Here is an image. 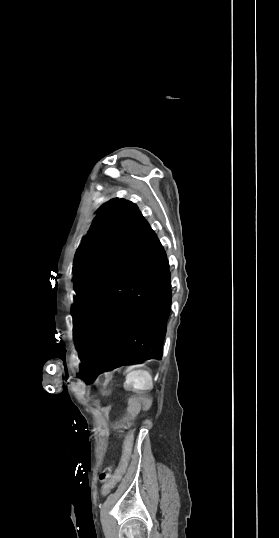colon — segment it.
<instances>
[{
  "label": "colon",
  "mask_w": 279,
  "mask_h": 538,
  "mask_svg": "<svg viewBox=\"0 0 279 538\" xmlns=\"http://www.w3.org/2000/svg\"><path fill=\"white\" fill-rule=\"evenodd\" d=\"M140 400L141 399L139 397H133L130 400L126 415L120 418L115 424L116 429L122 430L130 427L133 418L139 411ZM134 439V432H130L126 436L122 447L121 457L115 471L111 474L110 464H108L102 471L100 477L102 480L106 481L102 487V494L104 496L109 495L113 488L122 479L132 454Z\"/></svg>",
  "instance_id": "colon-1"
}]
</instances>
